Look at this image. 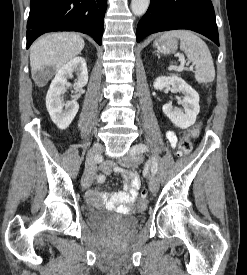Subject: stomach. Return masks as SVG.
I'll return each mask as SVG.
<instances>
[{"mask_svg": "<svg viewBox=\"0 0 247 275\" xmlns=\"http://www.w3.org/2000/svg\"><path fill=\"white\" fill-rule=\"evenodd\" d=\"M155 46L160 53L169 54L177 48V40L174 38H168L163 41L157 40Z\"/></svg>", "mask_w": 247, "mask_h": 275, "instance_id": "0dacf381", "label": "stomach"}]
</instances>
